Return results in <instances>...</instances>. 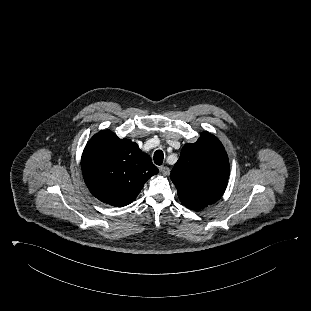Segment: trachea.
I'll list each match as a JSON object with an SVG mask.
<instances>
[{"label": "trachea", "instance_id": "obj_1", "mask_svg": "<svg viewBox=\"0 0 311 311\" xmlns=\"http://www.w3.org/2000/svg\"><path fill=\"white\" fill-rule=\"evenodd\" d=\"M153 159L156 165H162L164 159L163 152L161 150H156Z\"/></svg>", "mask_w": 311, "mask_h": 311}]
</instances>
